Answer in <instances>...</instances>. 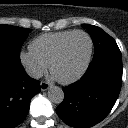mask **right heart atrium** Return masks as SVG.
I'll return each instance as SVG.
<instances>
[{"mask_svg":"<svg viewBox=\"0 0 128 128\" xmlns=\"http://www.w3.org/2000/svg\"><path fill=\"white\" fill-rule=\"evenodd\" d=\"M19 58L22 66L34 78L41 77L47 70L48 66L34 55L31 50L21 51Z\"/></svg>","mask_w":128,"mask_h":128,"instance_id":"right-heart-atrium-1","label":"right heart atrium"}]
</instances>
